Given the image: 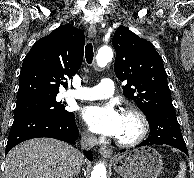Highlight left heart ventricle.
<instances>
[{"label": "left heart ventricle", "instance_id": "b2bd125f", "mask_svg": "<svg viewBox=\"0 0 194 178\" xmlns=\"http://www.w3.org/2000/svg\"><path fill=\"white\" fill-rule=\"evenodd\" d=\"M139 131L138 121L129 115L122 114V127L117 138L129 140L134 138Z\"/></svg>", "mask_w": 194, "mask_h": 178}]
</instances>
